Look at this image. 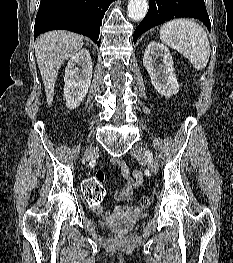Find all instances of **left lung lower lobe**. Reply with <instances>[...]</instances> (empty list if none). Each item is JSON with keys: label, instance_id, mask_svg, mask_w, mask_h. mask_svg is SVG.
<instances>
[{"label": "left lung lower lobe", "instance_id": "obj_1", "mask_svg": "<svg viewBox=\"0 0 233 263\" xmlns=\"http://www.w3.org/2000/svg\"><path fill=\"white\" fill-rule=\"evenodd\" d=\"M180 17L197 18L210 31L211 24L204 0H150L148 13L134 32V43L142 33L150 28Z\"/></svg>", "mask_w": 233, "mask_h": 263}]
</instances>
